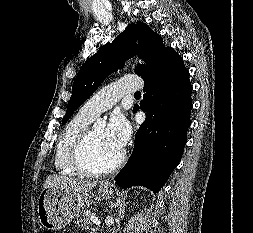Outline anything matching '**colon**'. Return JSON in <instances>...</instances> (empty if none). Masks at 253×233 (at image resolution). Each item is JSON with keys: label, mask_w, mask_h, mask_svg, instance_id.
Masks as SVG:
<instances>
[{"label": "colon", "mask_w": 253, "mask_h": 233, "mask_svg": "<svg viewBox=\"0 0 253 233\" xmlns=\"http://www.w3.org/2000/svg\"><path fill=\"white\" fill-rule=\"evenodd\" d=\"M45 233H53V232H51V231H46Z\"/></svg>", "instance_id": "obj_1"}]
</instances>
